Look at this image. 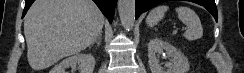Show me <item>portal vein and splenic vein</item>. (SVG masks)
Segmentation results:
<instances>
[{
  "mask_svg": "<svg viewBox=\"0 0 244 73\" xmlns=\"http://www.w3.org/2000/svg\"><path fill=\"white\" fill-rule=\"evenodd\" d=\"M173 33L176 34L177 33V30H174Z\"/></svg>",
  "mask_w": 244,
  "mask_h": 73,
  "instance_id": "18ae733b",
  "label": "portal vein and splenic vein"
}]
</instances>
